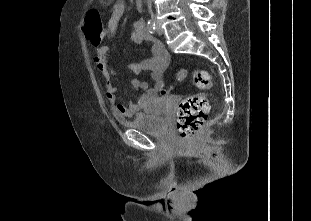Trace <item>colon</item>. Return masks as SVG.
I'll return each mask as SVG.
<instances>
[{"label":"colon","instance_id":"obj_1","mask_svg":"<svg viewBox=\"0 0 311 221\" xmlns=\"http://www.w3.org/2000/svg\"><path fill=\"white\" fill-rule=\"evenodd\" d=\"M100 12L90 8L86 11V25H84V38L89 39L94 47H99L104 26L99 22ZM186 70L180 71L177 78L184 80ZM194 84L197 89L210 90L213 86L211 75L202 69L194 70ZM165 93V90H162ZM211 107L209 98L203 94H193L184 97L178 105L175 127L181 141H192L193 136L204 124Z\"/></svg>","mask_w":311,"mask_h":221}]
</instances>
